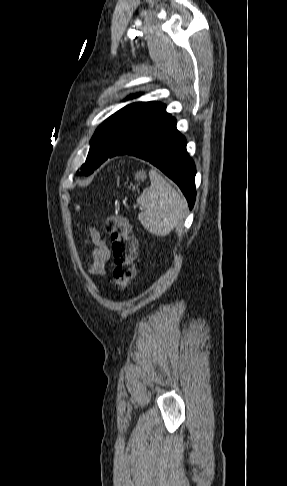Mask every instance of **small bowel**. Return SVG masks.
Listing matches in <instances>:
<instances>
[{
    "label": "small bowel",
    "instance_id": "c3829d8e",
    "mask_svg": "<svg viewBox=\"0 0 287 486\" xmlns=\"http://www.w3.org/2000/svg\"><path fill=\"white\" fill-rule=\"evenodd\" d=\"M88 237L94 244L88 272L91 275L104 276L107 272V263L111 258V250L95 227H89Z\"/></svg>",
    "mask_w": 287,
    "mask_h": 486
}]
</instances>
